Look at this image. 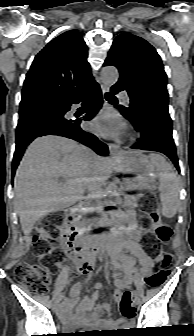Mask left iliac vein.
I'll return each instance as SVG.
<instances>
[{
  "instance_id": "4c4485c4",
  "label": "left iliac vein",
  "mask_w": 194,
  "mask_h": 336,
  "mask_svg": "<svg viewBox=\"0 0 194 336\" xmlns=\"http://www.w3.org/2000/svg\"><path fill=\"white\" fill-rule=\"evenodd\" d=\"M134 296H135V298H134V303H135L136 305H139V304H140V299H139V297L136 296V293H134Z\"/></svg>"
}]
</instances>
